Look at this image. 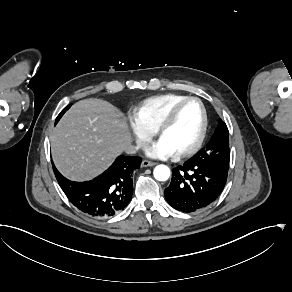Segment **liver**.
<instances>
[{
    "instance_id": "obj_1",
    "label": "liver",
    "mask_w": 292,
    "mask_h": 292,
    "mask_svg": "<svg viewBox=\"0 0 292 292\" xmlns=\"http://www.w3.org/2000/svg\"><path fill=\"white\" fill-rule=\"evenodd\" d=\"M130 133L122 114L100 99L82 100L67 112L52 132L53 156L60 171L73 180L101 173L128 147Z\"/></svg>"
}]
</instances>
